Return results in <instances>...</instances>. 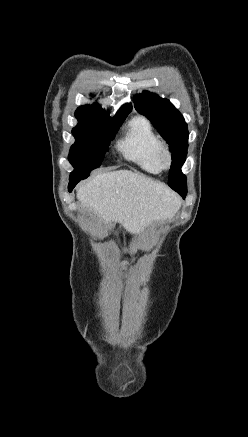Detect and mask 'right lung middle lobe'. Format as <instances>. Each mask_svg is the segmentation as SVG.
<instances>
[{"label":"right lung middle lobe","instance_id":"obj_1","mask_svg":"<svg viewBox=\"0 0 248 437\" xmlns=\"http://www.w3.org/2000/svg\"><path fill=\"white\" fill-rule=\"evenodd\" d=\"M126 117L101 123L78 120L77 126L72 130L76 141L71 146L68 157L74 167L70 179H85L91 170L101 165L109 142L114 139Z\"/></svg>","mask_w":248,"mask_h":437}]
</instances>
